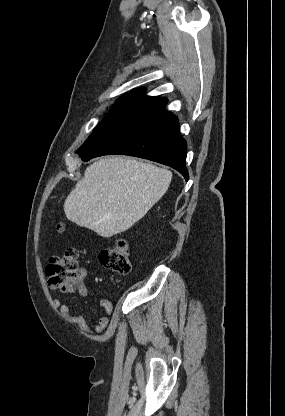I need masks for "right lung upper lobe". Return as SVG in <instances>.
Segmentation results:
<instances>
[{"instance_id":"obj_1","label":"right lung upper lobe","mask_w":285,"mask_h":416,"mask_svg":"<svg viewBox=\"0 0 285 416\" xmlns=\"http://www.w3.org/2000/svg\"><path fill=\"white\" fill-rule=\"evenodd\" d=\"M143 93H144V89H136V90H132L130 93H127L125 95L136 96L145 101L158 104L162 107V109H164L165 105L167 104V99L162 98V97H149V96L143 95Z\"/></svg>"}]
</instances>
